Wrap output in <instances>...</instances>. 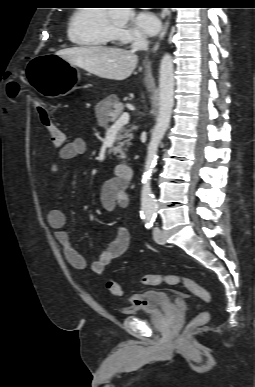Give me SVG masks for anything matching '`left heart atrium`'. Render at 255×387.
Wrapping results in <instances>:
<instances>
[{
    "mask_svg": "<svg viewBox=\"0 0 255 387\" xmlns=\"http://www.w3.org/2000/svg\"><path fill=\"white\" fill-rule=\"evenodd\" d=\"M133 22L136 30L146 36H154L161 29V21L152 12L144 11L137 13Z\"/></svg>",
    "mask_w": 255,
    "mask_h": 387,
    "instance_id": "1",
    "label": "left heart atrium"
}]
</instances>
